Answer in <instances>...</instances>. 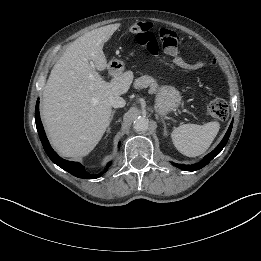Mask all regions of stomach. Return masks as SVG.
<instances>
[{"mask_svg": "<svg viewBox=\"0 0 261 261\" xmlns=\"http://www.w3.org/2000/svg\"><path fill=\"white\" fill-rule=\"evenodd\" d=\"M110 66L113 68L119 67V73L123 69V66L116 60L111 61ZM156 93L155 110L161 116H165L177 109L181 104V94L174 86L162 85L158 87Z\"/></svg>", "mask_w": 261, "mask_h": 261, "instance_id": "1", "label": "stomach"}]
</instances>
